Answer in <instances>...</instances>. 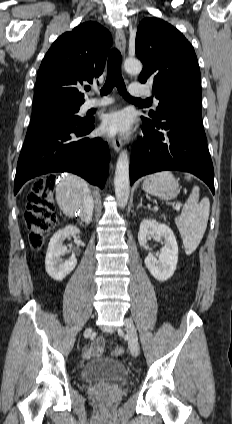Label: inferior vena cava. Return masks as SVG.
Instances as JSON below:
<instances>
[{
  "label": "inferior vena cava",
  "mask_w": 232,
  "mask_h": 424,
  "mask_svg": "<svg viewBox=\"0 0 232 424\" xmlns=\"http://www.w3.org/2000/svg\"><path fill=\"white\" fill-rule=\"evenodd\" d=\"M93 198L90 193H87L84 195L80 209L79 214L83 221L90 222L92 219V213H93Z\"/></svg>",
  "instance_id": "inferior-vena-cava-1"
}]
</instances>
